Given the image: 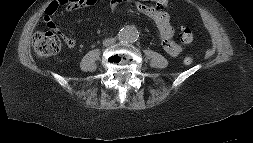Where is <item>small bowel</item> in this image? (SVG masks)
<instances>
[{
	"label": "small bowel",
	"instance_id": "small-bowel-1",
	"mask_svg": "<svg viewBox=\"0 0 253 143\" xmlns=\"http://www.w3.org/2000/svg\"><path fill=\"white\" fill-rule=\"evenodd\" d=\"M133 2L136 9L143 15L152 18L159 29V38L161 40L164 51L170 56H178L183 51V45L173 39L174 27L171 22V17L166 9L170 6L168 0H151L152 3H147L145 0H111V7L115 11L117 7L123 2ZM96 0L88 3L93 4ZM54 13L46 9L45 23L51 30L57 32L64 44L68 48H74L76 45L75 39L63 33L52 19Z\"/></svg>",
	"mask_w": 253,
	"mask_h": 143
}]
</instances>
